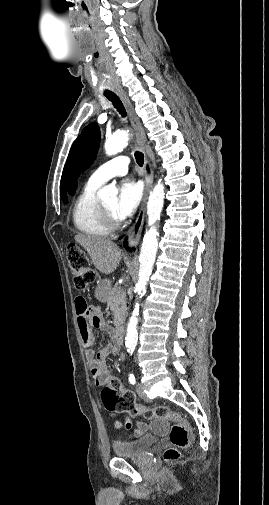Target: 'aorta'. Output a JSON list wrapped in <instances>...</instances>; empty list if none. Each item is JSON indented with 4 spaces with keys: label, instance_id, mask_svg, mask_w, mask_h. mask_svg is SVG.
Returning <instances> with one entry per match:
<instances>
[{
    "label": "aorta",
    "instance_id": "obj_1",
    "mask_svg": "<svg viewBox=\"0 0 269 505\" xmlns=\"http://www.w3.org/2000/svg\"><path fill=\"white\" fill-rule=\"evenodd\" d=\"M129 133L128 131L121 130L109 136L105 141V152L107 155H116L121 152L128 144ZM118 189L114 185H107L99 190L98 196L103 201H110L116 199ZM164 184L161 180L154 186L151 191L147 203V216L149 230L146 231L142 246L140 249V268L138 281L135 285V291L138 296H142L143 291L149 281L152 273L153 265L158 247V232L156 229V222L159 221L161 211L164 204ZM139 304L136 303L132 315L129 319L127 332L125 337V345L128 351H133L137 341V325H138Z\"/></svg>",
    "mask_w": 269,
    "mask_h": 505
}]
</instances>
